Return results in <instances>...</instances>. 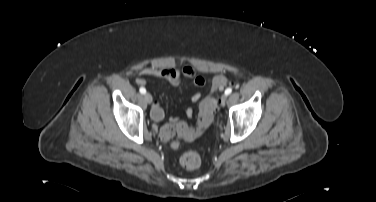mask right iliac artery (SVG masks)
I'll return each instance as SVG.
<instances>
[{
    "label": "right iliac artery",
    "instance_id": "obj_1",
    "mask_svg": "<svg viewBox=\"0 0 376 202\" xmlns=\"http://www.w3.org/2000/svg\"><path fill=\"white\" fill-rule=\"evenodd\" d=\"M139 91H140L141 94H145L146 93V89L144 87H141L139 89Z\"/></svg>",
    "mask_w": 376,
    "mask_h": 202
}]
</instances>
